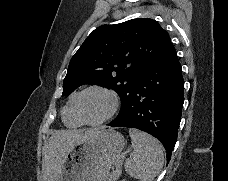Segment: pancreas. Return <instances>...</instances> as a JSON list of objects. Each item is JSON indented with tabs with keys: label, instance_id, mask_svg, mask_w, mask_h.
Returning <instances> with one entry per match:
<instances>
[{
	"label": "pancreas",
	"instance_id": "1",
	"mask_svg": "<svg viewBox=\"0 0 228 181\" xmlns=\"http://www.w3.org/2000/svg\"><path fill=\"white\" fill-rule=\"evenodd\" d=\"M120 175H121V169L119 167L118 169H116V171H113V173H110L107 181H116V179H118Z\"/></svg>",
	"mask_w": 228,
	"mask_h": 181
}]
</instances>
